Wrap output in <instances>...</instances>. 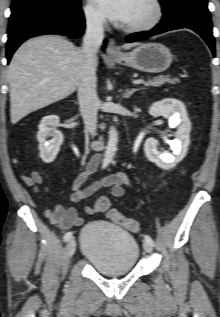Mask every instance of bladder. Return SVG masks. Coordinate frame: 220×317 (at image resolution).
<instances>
[{"label":"bladder","instance_id":"31cf9c89","mask_svg":"<svg viewBox=\"0 0 220 317\" xmlns=\"http://www.w3.org/2000/svg\"><path fill=\"white\" fill-rule=\"evenodd\" d=\"M80 237L82 258L101 274H129L138 263L137 240L113 223L91 221L82 228Z\"/></svg>","mask_w":220,"mask_h":317}]
</instances>
